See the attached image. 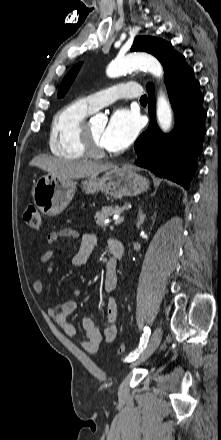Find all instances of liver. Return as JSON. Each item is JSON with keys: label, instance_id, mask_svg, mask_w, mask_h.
Returning a JSON list of instances; mask_svg holds the SVG:
<instances>
[{"label": "liver", "instance_id": "liver-1", "mask_svg": "<svg viewBox=\"0 0 221 440\" xmlns=\"http://www.w3.org/2000/svg\"><path fill=\"white\" fill-rule=\"evenodd\" d=\"M30 166H36L60 179H81L97 175L114 167L111 163L75 162L41 155L34 157Z\"/></svg>", "mask_w": 221, "mask_h": 440}]
</instances>
